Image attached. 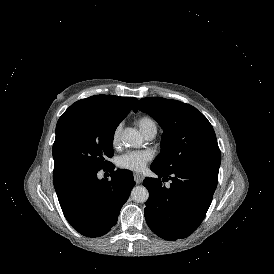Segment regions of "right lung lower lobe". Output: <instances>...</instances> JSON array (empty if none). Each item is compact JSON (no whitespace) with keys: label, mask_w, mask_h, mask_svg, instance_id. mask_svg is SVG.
<instances>
[{"label":"right lung lower lobe","mask_w":274,"mask_h":274,"mask_svg":"<svg viewBox=\"0 0 274 274\" xmlns=\"http://www.w3.org/2000/svg\"><path fill=\"white\" fill-rule=\"evenodd\" d=\"M113 166V165H112ZM111 180L98 179V169L81 168L53 174L54 187L68 222L87 237L106 234L117 223L120 209L135 185L133 174L114 167Z\"/></svg>","instance_id":"98d812e1"}]
</instances>
